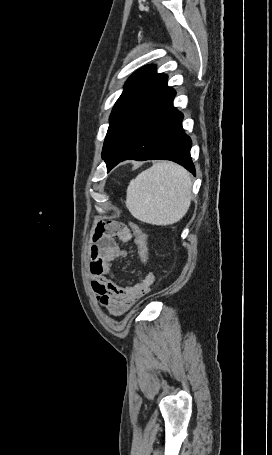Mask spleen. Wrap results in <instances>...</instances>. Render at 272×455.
<instances>
[{"label":"spleen","instance_id":"1","mask_svg":"<svg viewBox=\"0 0 272 455\" xmlns=\"http://www.w3.org/2000/svg\"><path fill=\"white\" fill-rule=\"evenodd\" d=\"M191 189L187 170L175 163L161 161L130 181L125 203L132 216L142 222L174 224L190 207Z\"/></svg>","mask_w":272,"mask_h":455}]
</instances>
